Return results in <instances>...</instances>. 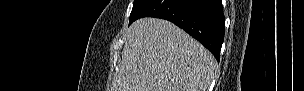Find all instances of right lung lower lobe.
<instances>
[{
  "label": "right lung lower lobe",
  "instance_id": "1",
  "mask_svg": "<svg viewBox=\"0 0 304 91\" xmlns=\"http://www.w3.org/2000/svg\"><path fill=\"white\" fill-rule=\"evenodd\" d=\"M173 22L201 42L219 61L225 17L221 0H150L136 18Z\"/></svg>",
  "mask_w": 304,
  "mask_h": 91
}]
</instances>
